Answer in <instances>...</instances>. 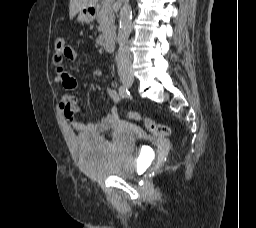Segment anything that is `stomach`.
<instances>
[{
    "label": "stomach",
    "mask_w": 256,
    "mask_h": 228,
    "mask_svg": "<svg viewBox=\"0 0 256 228\" xmlns=\"http://www.w3.org/2000/svg\"><path fill=\"white\" fill-rule=\"evenodd\" d=\"M95 18V10L93 8H85L79 12L78 21L82 23H90Z\"/></svg>",
    "instance_id": "0dacf381"
}]
</instances>
